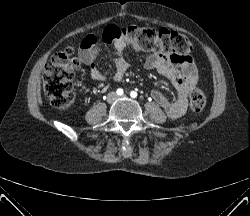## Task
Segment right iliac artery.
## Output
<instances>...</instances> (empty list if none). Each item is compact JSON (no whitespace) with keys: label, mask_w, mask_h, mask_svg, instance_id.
Wrapping results in <instances>:
<instances>
[{"label":"right iliac artery","mask_w":250,"mask_h":216,"mask_svg":"<svg viewBox=\"0 0 250 216\" xmlns=\"http://www.w3.org/2000/svg\"><path fill=\"white\" fill-rule=\"evenodd\" d=\"M116 93L121 96V95H123L124 91H123V89L119 88V89H117Z\"/></svg>","instance_id":"right-iliac-artery-1"}]
</instances>
